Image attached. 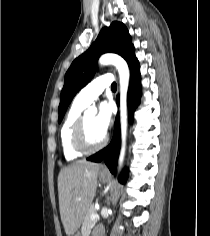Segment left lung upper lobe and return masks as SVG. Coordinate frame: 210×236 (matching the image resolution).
Instances as JSON below:
<instances>
[{
  "label": "left lung upper lobe",
  "instance_id": "obj_1",
  "mask_svg": "<svg viewBox=\"0 0 210 236\" xmlns=\"http://www.w3.org/2000/svg\"><path fill=\"white\" fill-rule=\"evenodd\" d=\"M105 52H114L122 56L133 71L139 62L134 55V47L127 28L123 23L113 22L104 27L90 48L76 58L65 75L61 92L58 121L64 117L66 109L75 94L94 76L99 56Z\"/></svg>",
  "mask_w": 210,
  "mask_h": 236
}]
</instances>
